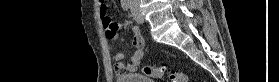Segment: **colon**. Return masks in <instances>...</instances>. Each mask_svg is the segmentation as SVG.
Listing matches in <instances>:
<instances>
[{"label":"colon","mask_w":279,"mask_h":82,"mask_svg":"<svg viewBox=\"0 0 279 82\" xmlns=\"http://www.w3.org/2000/svg\"><path fill=\"white\" fill-rule=\"evenodd\" d=\"M100 14L103 25H110L112 23V20L109 18L105 8H101ZM142 73L153 79H161L166 73L170 82H188V77L184 73L177 71L166 72V69L162 67L144 66L142 68Z\"/></svg>","instance_id":"1"}]
</instances>
